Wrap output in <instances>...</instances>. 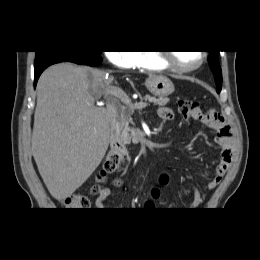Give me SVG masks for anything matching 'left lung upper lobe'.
Returning <instances> with one entry per match:
<instances>
[{
    "label": "left lung upper lobe",
    "mask_w": 260,
    "mask_h": 260,
    "mask_svg": "<svg viewBox=\"0 0 260 260\" xmlns=\"http://www.w3.org/2000/svg\"><path fill=\"white\" fill-rule=\"evenodd\" d=\"M209 53L210 54L208 57V62L211 70L214 73L216 84H217V92L219 93L222 87V71L219 66L218 51H209Z\"/></svg>",
    "instance_id": "1"
}]
</instances>
